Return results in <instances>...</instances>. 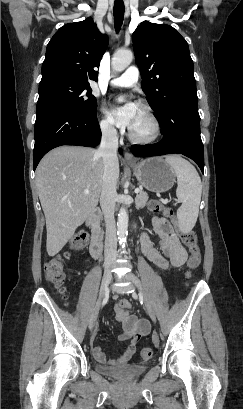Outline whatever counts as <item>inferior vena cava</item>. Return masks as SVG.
I'll use <instances>...</instances> for the list:
<instances>
[{
	"label": "inferior vena cava",
	"instance_id": "1",
	"mask_svg": "<svg viewBox=\"0 0 243 409\" xmlns=\"http://www.w3.org/2000/svg\"><path fill=\"white\" fill-rule=\"evenodd\" d=\"M118 149L117 131L112 125L102 127V138L97 153L103 160V183L100 196V206L105 219V249L104 261L113 263L117 257L116 225L114 219L116 188L118 173L116 171Z\"/></svg>",
	"mask_w": 243,
	"mask_h": 409
}]
</instances>
